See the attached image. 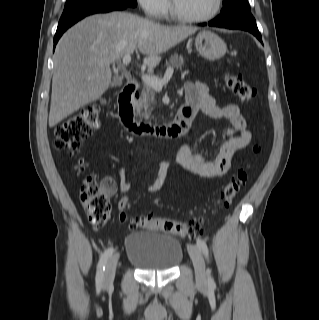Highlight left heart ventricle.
Here are the masks:
<instances>
[{"instance_id":"obj_1","label":"left heart ventricle","mask_w":319,"mask_h":320,"mask_svg":"<svg viewBox=\"0 0 319 320\" xmlns=\"http://www.w3.org/2000/svg\"><path fill=\"white\" fill-rule=\"evenodd\" d=\"M175 9L190 17L206 16L215 8L216 0H172Z\"/></svg>"}]
</instances>
